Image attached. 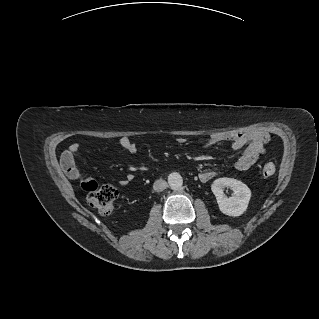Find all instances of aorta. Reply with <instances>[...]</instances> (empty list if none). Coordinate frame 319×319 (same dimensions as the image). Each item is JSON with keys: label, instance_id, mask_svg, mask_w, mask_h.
Instances as JSON below:
<instances>
[{"label": "aorta", "instance_id": "obj_1", "mask_svg": "<svg viewBox=\"0 0 319 319\" xmlns=\"http://www.w3.org/2000/svg\"><path fill=\"white\" fill-rule=\"evenodd\" d=\"M168 183L173 190H178L183 185V178L178 173H172L168 177Z\"/></svg>", "mask_w": 319, "mask_h": 319}]
</instances>
